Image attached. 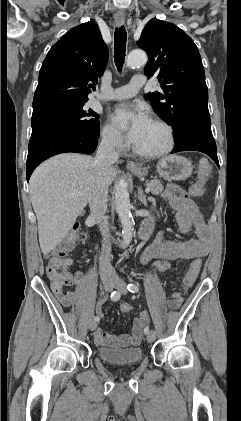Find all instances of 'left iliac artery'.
I'll return each mask as SVG.
<instances>
[{"label": "left iliac artery", "mask_w": 241, "mask_h": 421, "mask_svg": "<svg viewBox=\"0 0 241 421\" xmlns=\"http://www.w3.org/2000/svg\"><path fill=\"white\" fill-rule=\"evenodd\" d=\"M127 289H128L130 292H132V293H137V292L139 291L138 286H137L136 284H134V283H129V284H128V286H127ZM144 332H145V334H148V333H149V328H148V327H146V328L144 329Z\"/></svg>", "instance_id": "left-iliac-artery-1"}]
</instances>
